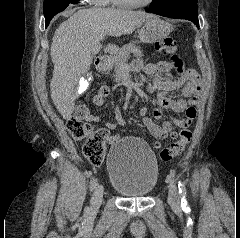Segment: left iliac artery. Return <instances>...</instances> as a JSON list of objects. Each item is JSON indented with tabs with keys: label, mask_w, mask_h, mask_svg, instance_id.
Returning a JSON list of instances; mask_svg holds the SVG:
<instances>
[{
	"label": "left iliac artery",
	"mask_w": 240,
	"mask_h": 238,
	"mask_svg": "<svg viewBox=\"0 0 240 238\" xmlns=\"http://www.w3.org/2000/svg\"><path fill=\"white\" fill-rule=\"evenodd\" d=\"M178 188H179V193L182 195L181 206L185 210H188L189 208L187 207V202L185 199L186 187L182 181L178 182Z\"/></svg>",
	"instance_id": "44dca946"
}]
</instances>
